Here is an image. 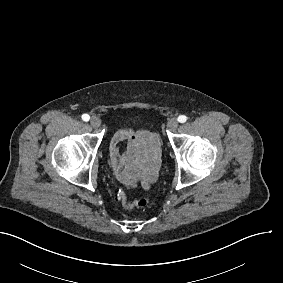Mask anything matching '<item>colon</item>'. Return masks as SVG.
I'll use <instances>...</instances> for the list:
<instances>
[{
  "label": "colon",
  "instance_id": "5ec220e1",
  "mask_svg": "<svg viewBox=\"0 0 283 283\" xmlns=\"http://www.w3.org/2000/svg\"><path fill=\"white\" fill-rule=\"evenodd\" d=\"M149 205V198L145 196H140L135 198L134 200L127 203V208H145Z\"/></svg>",
  "mask_w": 283,
  "mask_h": 283
}]
</instances>
